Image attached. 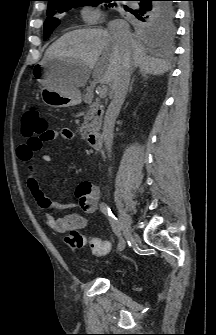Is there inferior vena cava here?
Masks as SVG:
<instances>
[{"mask_svg":"<svg viewBox=\"0 0 216 335\" xmlns=\"http://www.w3.org/2000/svg\"><path fill=\"white\" fill-rule=\"evenodd\" d=\"M108 30L114 40L119 44L127 43L131 39L129 25L122 19H116L108 23ZM132 65L129 58H124L120 71L113 84V98L108 106L103 126V138L108 156L111 157L114 135V125L121 106L127 94ZM111 171V169H109Z\"/></svg>","mask_w":216,"mask_h":335,"instance_id":"1","label":"inferior vena cava"}]
</instances>
